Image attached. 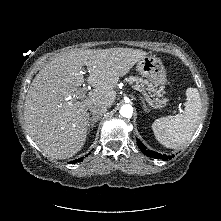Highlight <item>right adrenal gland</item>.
<instances>
[{"instance_id": "1", "label": "right adrenal gland", "mask_w": 221, "mask_h": 221, "mask_svg": "<svg viewBox=\"0 0 221 221\" xmlns=\"http://www.w3.org/2000/svg\"><path fill=\"white\" fill-rule=\"evenodd\" d=\"M100 118L98 117H92L89 119V122H88V129L90 131V129H93V127L95 126L96 122L99 121Z\"/></svg>"}]
</instances>
